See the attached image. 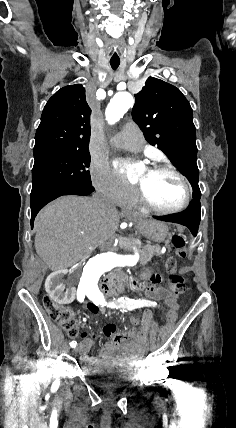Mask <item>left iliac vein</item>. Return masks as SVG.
<instances>
[{
	"mask_svg": "<svg viewBox=\"0 0 236 428\" xmlns=\"http://www.w3.org/2000/svg\"><path fill=\"white\" fill-rule=\"evenodd\" d=\"M151 345H155L157 342L155 340H151L150 338L147 340Z\"/></svg>",
	"mask_w": 236,
	"mask_h": 428,
	"instance_id": "left-iliac-vein-1",
	"label": "left iliac vein"
}]
</instances>
